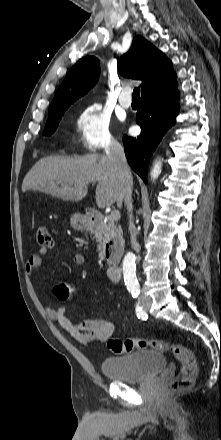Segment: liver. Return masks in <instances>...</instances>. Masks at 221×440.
<instances>
[{
	"label": "liver",
	"mask_w": 221,
	"mask_h": 440,
	"mask_svg": "<svg viewBox=\"0 0 221 440\" xmlns=\"http://www.w3.org/2000/svg\"><path fill=\"white\" fill-rule=\"evenodd\" d=\"M96 182L98 207H110L115 202L120 207V180L108 158L98 154L40 159L25 176L22 191L36 190L63 200L81 201L88 193V185Z\"/></svg>",
	"instance_id": "obj_1"
}]
</instances>
